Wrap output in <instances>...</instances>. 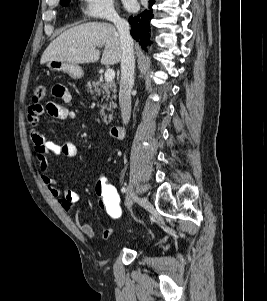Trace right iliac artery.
I'll return each instance as SVG.
<instances>
[{
  "label": "right iliac artery",
  "instance_id": "82829eb1",
  "mask_svg": "<svg viewBox=\"0 0 267 301\" xmlns=\"http://www.w3.org/2000/svg\"><path fill=\"white\" fill-rule=\"evenodd\" d=\"M122 193H125L126 192V188L125 187H122L121 189ZM132 204V203H131Z\"/></svg>",
  "mask_w": 267,
  "mask_h": 301
}]
</instances>
